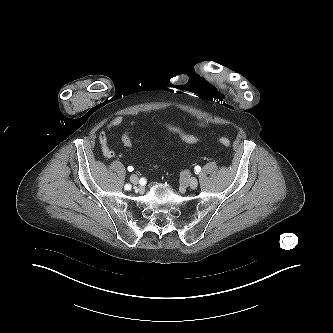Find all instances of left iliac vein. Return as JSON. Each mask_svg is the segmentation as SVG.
<instances>
[{
    "label": "left iliac vein",
    "mask_w": 333,
    "mask_h": 333,
    "mask_svg": "<svg viewBox=\"0 0 333 333\" xmlns=\"http://www.w3.org/2000/svg\"><path fill=\"white\" fill-rule=\"evenodd\" d=\"M185 182L192 189H195L198 186V181L195 177H187L185 178Z\"/></svg>",
    "instance_id": "1"
}]
</instances>
